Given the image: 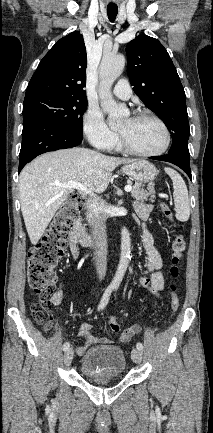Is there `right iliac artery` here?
<instances>
[{"mask_svg": "<svg viewBox=\"0 0 213 433\" xmlns=\"http://www.w3.org/2000/svg\"><path fill=\"white\" fill-rule=\"evenodd\" d=\"M111 292H112V288H111V287H108V288L105 290V292H104V294H103V296H102V298H101V301H100V303H99V305H98V311H100V310H102V309L105 308V306L107 305V303H108V301H109V297H110V295H111ZM69 347H70V343H69V342H66V343H64V345H63V350L66 351L67 349H69Z\"/></svg>", "mask_w": 213, "mask_h": 433, "instance_id": "right-iliac-artery-1", "label": "right iliac artery"}]
</instances>
